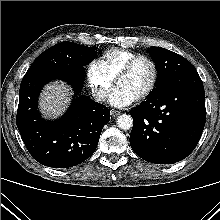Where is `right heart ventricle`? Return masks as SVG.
<instances>
[{"label": "right heart ventricle", "mask_w": 220, "mask_h": 220, "mask_svg": "<svg viewBox=\"0 0 220 220\" xmlns=\"http://www.w3.org/2000/svg\"><path fill=\"white\" fill-rule=\"evenodd\" d=\"M136 55V52L127 49L113 48L103 54L102 62L109 74L115 78L122 67Z\"/></svg>", "instance_id": "obj_1"}]
</instances>
